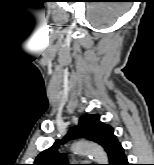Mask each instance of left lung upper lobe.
Here are the masks:
<instances>
[{"instance_id":"left-lung-upper-lobe-1","label":"left lung upper lobe","mask_w":154,"mask_h":165,"mask_svg":"<svg viewBox=\"0 0 154 165\" xmlns=\"http://www.w3.org/2000/svg\"><path fill=\"white\" fill-rule=\"evenodd\" d=\"M79 137H85L103 146L108 153L109 165L112 164L115 155L122 147L113 133V128L102 123L98 114L84 115L80 117L79 125L72 128L61 141L57 140L52 147L41 152L33 165H72L68 163L65 155L57 150L60 142L64 144L68 140Z\"/></svg>"}]
</instances>
